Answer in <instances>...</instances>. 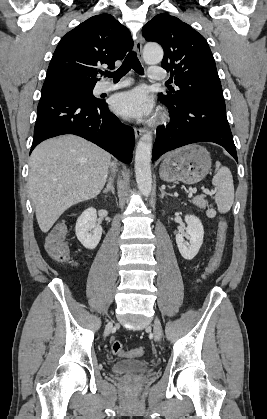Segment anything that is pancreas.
<instances>
[{"mask_svg":"<svg viewBox=\"0 0 267 419\" xmlns=\"http://www.w3.org/2000/svg\"><path fill=\"white\" fill-rule=\"evenodd\" d=\"M191 202L201 209H205L208 206V202L204 199L203 195L194 197Z\"/></svg>","mask_w":267,"mask_h":419,"instance_id":"obj_1","label":"pancreas"}]
</instances>
